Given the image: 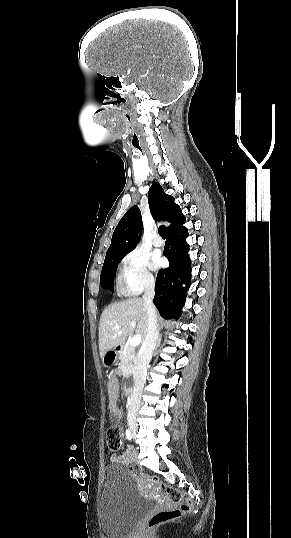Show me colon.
Here are the masks:
<instances>
[{
	"mask_svg": "<svg viewBox=\"0 0 291 538\" xmlns=\"http://www.w3.org/2000/svg\"><path fill=\"white\" fill-rule=\"evenodd\" d=\"M124 446L123 435L118 426H111L107 430L106 447L107 451L114 455L118 453ZM132 471L135 474L141 473L139 466L133 465ZM160 492L164 494L170 501L177 504V507L171 510H161L156 512L148 521L146 534H151L162 524L179 518L183 513L190 509V501L185 500L182 493L173 487H162Z\"/></svg>",
	"mask_w": 291,
	"mask_h": 538,
	"instance_id": "5ec220e1",
	"label": "colon"
}]
</instances>
